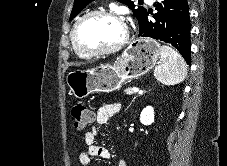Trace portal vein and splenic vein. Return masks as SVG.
<instances>
[{
	"mask_svg": "<svg viewBox=\"0 0 227 166\" xmlns=\"http://www.w3.org/2000/svg\"><path fill=\"white\" fill-rule=\"evenodd\" d=\"M139 91V89L137 88V87H134L133 89H132V92L133 93H137Z\"/></svg>",
	"mask_w": 227,
	"mask_h": 166,
	"instance_id": "18ae733b",
	"label": "portal vein and splenic vein"
}]
</instances>
